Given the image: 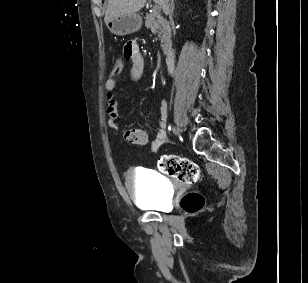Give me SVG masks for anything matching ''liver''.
Segmentation results:
<instances>
[{"instance_id":"1","label":"liver","mask_w":308,"mask_h":283,"mask_svg":"<svg viewBox=\"0 0 308 283\" xmlns=\"http://www.w3.org/2000/svg\"><path fill=\"white\" fill-rule=\"evenodd\" d=\"M147 0H108L107 9L105 13V24L115 17L120 15H130L141 10ZM155 3H160L162 8L163 5L169 2V0H154Z\"/></svg>"}]
</instances>
